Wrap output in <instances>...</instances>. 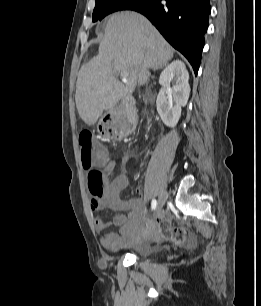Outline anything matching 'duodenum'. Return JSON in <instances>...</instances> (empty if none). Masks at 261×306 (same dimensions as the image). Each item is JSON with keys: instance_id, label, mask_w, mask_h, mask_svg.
I'll return each instance as SVG.
<instances>
[{"instance_id": "410a0bca", "label": "duodenum", "mask_w": 261, "mask_h": 306, "mask_svg": "<svg viewBox=\"0 0 261 306\" xmlns=\"http://www.w3.org/2000/svg\"><path fill=\"white\" fill-rule=\"evenodd\" d=\"M132 105H133V103H132V101H131L130 99H127V100L124 101V107H125V109L131 108Z\"/></svg>"}]
</instances>
